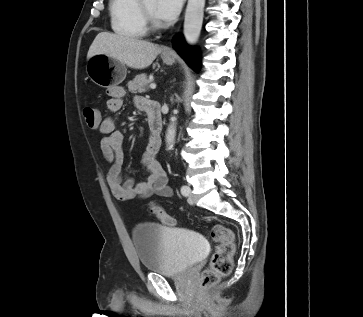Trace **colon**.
<instances>
[{
    "label": "colon",
    "mask_w": 363,
    "mask_h": 317,
    "mask_svg": "<svg viewBox=\"0 0 363 317\" xmlns=\"http://www.w3.org/2000/svg\"><path fill=\"white\" fill-rule=\"evenodd\" d=\"M83 117L86 125L93 130L99 129L101 125V115L98 109L86 106L83 109ZM151 211L165 225H175V219L167 214L161 207L151 204ZM212 239L216 243V248L211 258L210 266L201 273L200 289L208 290L219 280L230 274L233 266L235 252L233 231L222 225L214 226L211 231Z\"/></svg>",
    "instance_id": "colon-1"
}]
</instances>
